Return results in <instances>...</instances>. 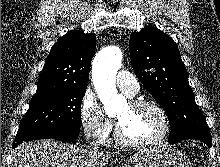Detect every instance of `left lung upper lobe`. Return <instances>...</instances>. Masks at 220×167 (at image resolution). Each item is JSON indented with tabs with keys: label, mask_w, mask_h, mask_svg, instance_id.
Here are the masks:
<instances>
[{
	"label": "left lung upper lobe",
	"mask_w": 220,
	"mask_h": 167,
	"mask_svg": "<svg viewBox=\"0 0 220 167\" xmlns=\"http://www.w3.org/2000/svg\"><path fill=\"white\" fill-rule=\"evenodd\" d=\"M129 49L136 76L170 119L169 140L210 133L173 39L158 28L147 26L131 34Z\"/></svg>",
	"instance_id": "5c2ea615"
}]
</instances>
